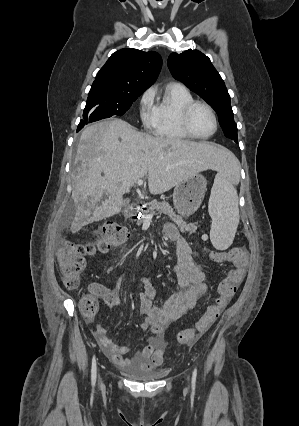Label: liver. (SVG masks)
<instances>
[{
  "label": "liver",
  "instance_id": "obj_1",
  "mask_svg": "<svg viewBox=\"0 0 299 426\" xmlns=\"http://www.w3.org/2000/svg\"><path fill=\"white\" fill-rule=\"evenodd\" d=\"M236 161L225 147L206 141L154 137L121 119L88 126L80 136L72 199V232L121 211L123 195L144 176L151 194H162L207 169L224 170Z\"/></svg>",
  "mask_w": 299,
  "mask_h": 426
}]
</instances>
